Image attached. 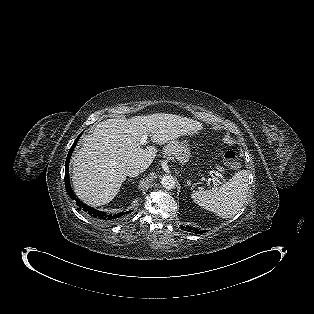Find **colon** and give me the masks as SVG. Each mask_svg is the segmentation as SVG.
<instances>
[{
  "mask_svg": "<svg viewBox=\"0 0 314 314\" xmlns=\"http://www.w3.org/2000/svg\"><path fill=\"white\" fill-rule=\"evenodd\" d=\"M224 161L231 168H237L239 166L237 154L233 150H228L224 153Z\"/></svg>",
  "mask_w": 314,
  "mask_h": 314,
  "instance_id": "colon-1",
  "label": "colon"
}]
</instances>
